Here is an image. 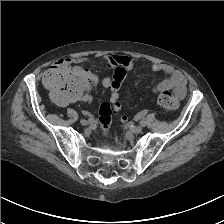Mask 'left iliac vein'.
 Returning <instances> with one entry per match:
<instances>
[{"label": "left iliac vein", "instance_id": "1", "mask_svg": "<svg viewBox=\"0 0 224 224\" xmlns=\"http://www.w3.org/2000/svg\"><path fill=\"white\" fill-rule=\"evenodd\" d=\"M132 132L135 134L141 133L142 132V127L141 126H134L132 127Z\"/></svg>", "mask_w": 224, "mask_h": 224}]
</instances>
